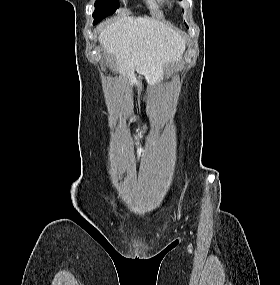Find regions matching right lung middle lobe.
Here are the masks:
<instances>
[{
	"mask_svg": "<svg viewBox=\"0 0 280 285\" xmlns=\"http://www.w3.org/2000/svg\"><path fill=\"white\" fill-rule=\"evenodd\" d=\"M117 8H119V0H97L93 13V24L95 25L103 18L114 14Z\"/></svg>",
	"mask_w": 280,
	"mask_h": 285,
	"instance_id": "1",
	"label": "right lung middle lobe"
}]
</instances>
